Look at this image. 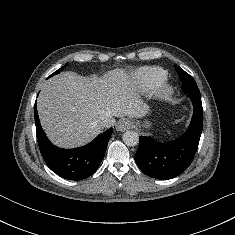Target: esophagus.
Segmentation results:
<instances>
[{"label":"esophagus","instance_id":"1","mask_svg":"<svg viewBox=\"0 0 235 235\" xmlns=\"http://www.w3.org/2000/svg\"><path fill=\"white\" fill-rule=\"evenodd\" d=\"M132 127V122L129 119H122L117 124V131L124 132Z\"/></svg>","mask_w":235,"mask_h":235}]
</instances>
